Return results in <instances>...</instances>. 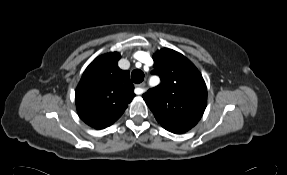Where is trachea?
Instances as JSON below:
<instances>
[{
	"instance_id": "trachea-1",
	"label": "trachea",
	"mask_w": 287,
	"mask_h": 175,
	"mask_svg": "<svg viewBox=\"0 0 287 175\" xmlns=\"http://www.w3.org/2000/svg\"><path fill=\"white\" fill-rule=\"evenodd\" d=\"M131 79L136 84L141 83L144 80V73L141 70L136 69L131 73Z\"/></svg>"
}]
</instances>
